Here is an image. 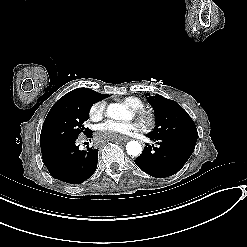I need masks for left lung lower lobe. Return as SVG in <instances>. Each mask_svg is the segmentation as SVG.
Masks as SVG:
<instances>
[{"label": "left lung lower lobe", "mask_w": 247, "mask_h": 247, "mask_svg": "<svg viewBox=\"0 0 247 247\" xmlns=\"http://www.w3.org/2000/svg\"><path fill=\"white\" fill-rule=\"evenodd\" d=\"M149 138L159 147L147 144L135 163L144 172L156 178L177 173L187 162L196 145L186 140Z\"/></svg>", "instance_id": "obj_1"}]
</instances>
